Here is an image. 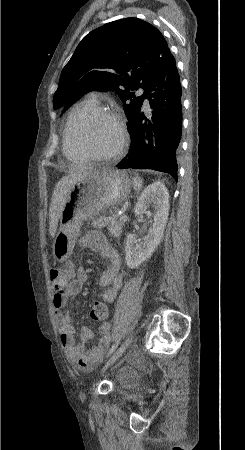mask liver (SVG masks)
I'll return each mask as SVG.
<instances>
[{
  "label": "liver",
  "instance_id": "liver-1",
  "mask_svg": "<svg viewBox=\"0 0 245 450\" xmlns=\"http://www.w3.org/2000/svg\"><path fill=\"white\" fill-rule=\"evenodd\" d=\"M94 169H84L75 171L63 177L55 186L52 194L51 204L49 208V232L52 237L56 234L58 220L60 218L63 206L66 201L68 192L72 185L80 178L91 174Z\"/></svg>",
  "mask_w": 245,
  "mask_h": 450
}]
</instances>
